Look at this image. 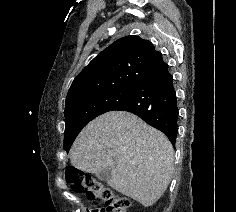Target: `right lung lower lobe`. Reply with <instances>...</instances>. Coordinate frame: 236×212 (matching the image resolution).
I'll return each instance as SVG.
<instances>
[{"label": "right lung lower lobe", "mask_w": 236, "mask_h": 212, "mask_svg": "<svg viewBox=\"0 0 236 212\" xmlns=\"http://www.w3.org/2000/svg\"><path fill=\"white\" fill-rule=\"evenodd\" d=\"M115 110L131 112L162 131L175 146L178 130V108L173 77L168 65L161 64L145 75L131 96Z\"/></svg>", "instance_id": "98d812e1"}]
</instances>
